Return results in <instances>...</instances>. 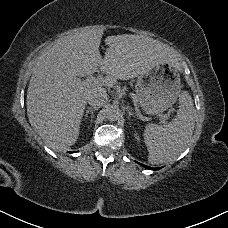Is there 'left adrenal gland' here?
I'll return each mask as SVG.
<instances>
[{
  "label": "left adrenal gland",
  "instance_id": "obj_1",
  "mask_svg": "<svg viewBox=\"0 0 228 228\" xmlns=\"http://www.w3.org/2000/svg\"><path fill=\"white\" fill-rule=\"evenodd\" d=\"M128 110V116H133V117H136V114L132 111V109L129 108V106H127L126 108Z\"/></svg>",
  "mask_w": 228,
  "mask_h": 228
}]
</instances>
